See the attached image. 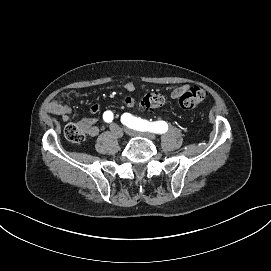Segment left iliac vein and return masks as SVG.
<instances>
[{
	"instance_id": "obj_1",
	"label": "left iliac vein",
	"mask_w": 271,
	"mask_h": 271,
	"mask_svg": "<svg viewBox=\"0 0 271 271\" xmlns=\"http://www.w3.org/2000/svg\"><path fill=\"white\" fill-rule=\"evenodd\" d=\"M126 133H128L131 136H143L148 138L149 140H155L156 139V135L154 133L151 132H139V131H135L129 128L125 129Z\"/></svg>"
}]
</instances>
